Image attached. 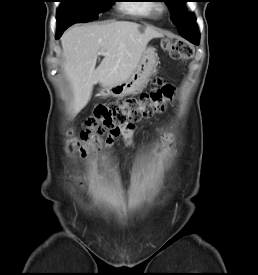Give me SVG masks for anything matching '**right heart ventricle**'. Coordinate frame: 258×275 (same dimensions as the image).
I'll return each mask as SVG.
<instances>
[{
	"label": "right heart ventricle",
	"mask_w": 258,
	"mask_h": 275,
	"mask_svg": "<svg viewBox=\"0 0 258 275\" xmlns=\"http://www.w3.org/2000/svg\"><path fill=\"white\" fill-rule=\"evenodd\" d=\"M124 9L143 17H156L162 12V5L155 3H133L124 5Z\"/></svg>",
	"instance_id": "obj_1"
}]
</instances>
